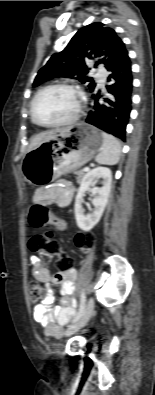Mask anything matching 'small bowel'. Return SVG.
Instances as JSON below:
<instances>
[{"label":"small bowel","instance_id":"small-bowel-1","mask_svg":"<svg viewBox=\"0 0 155 395\" xmlns=\"http://www.w3.org/2000/svg\"><path fill=\"white\" fill-rule=\"evenodd\" d=\"M73 186L66 181H58L37 194L40 205L46 206L55 202L59 206H67L73 197ZM51 224L59 230L65 229V222L59 218L52 217ZM32 273L36 280L45 284L46 295L42 302L34 307L33 318L44 327L47 338H60L63 333L62 326L68 323L75 313L72 294L75 289L77 271L75 272H52L42 259L37 256L30 258ZM52 285L60 286V295L63 297L62 306L52 307L56 294Z\"/></svg>","mask_w":155,"mask_h":395}]
</instances>
